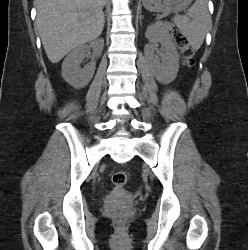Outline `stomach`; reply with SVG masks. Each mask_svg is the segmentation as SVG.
<instances>
[{"label":"stomach","instance_id":"obj_1","mask_svg":"<svg viewBox=\"0 0 248 250\" xmlns=\"http://www.w3.org/2000/svg\"><path fill=\"white\" fill-rule=\"evenodd\" d=\"M144 7L153 12H179L186 9L192 0H142Z\"/></svg>","mask_w":248,"mask_h":250}]
</instances>
